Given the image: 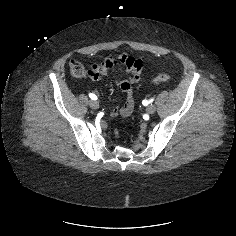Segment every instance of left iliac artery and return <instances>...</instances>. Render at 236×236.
I'll return each instance as SVG.
<instances>
[{"label": "left iliac artery", "mask_w": 236, "mask_h": 236, "mask_svg": "<svg viewBox=\"0 0 236 236\" xmlns=\"http://www.w3.org/2000/svg\"><path fill=\"white\" fill-rule=\"evenodd\" d=\"M153 100H154V99H151V100H149V101L143 100V104H144V105H148L149 103L153 102Z\"/></svg>", "instance_id": "1"}]
</instances>
